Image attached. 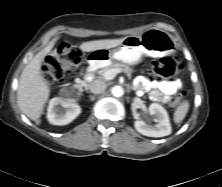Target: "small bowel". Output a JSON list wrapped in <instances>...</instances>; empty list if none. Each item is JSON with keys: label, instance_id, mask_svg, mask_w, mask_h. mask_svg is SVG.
<instances>
[{"label": "small bowel", "instance_id": "1", "mask_svg": "<svg viewBox=\"0 0 222 187\" xmlns=\"http://www.w3.org/2000/svg\"><path fill=\"white\" fill-rule=\"evenodd\" d=\"M137 85L142 91L148 93L150 100L167 103L171 95L181 87V82L177 79L154 81L145 77H140L137 81Z\"/></svg>", "mask_w": 222, "mask_h": 187}]
</instances>
